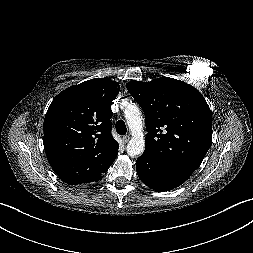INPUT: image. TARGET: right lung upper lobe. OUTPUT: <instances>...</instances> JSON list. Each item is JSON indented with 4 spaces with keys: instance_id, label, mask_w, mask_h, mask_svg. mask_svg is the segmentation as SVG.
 Segmentation results:
<instances>
[{
    "instance_id": "right-lung-upper-lobe-1",
    "label": "right lung upper lobe",
    "mask_w": 253,
    "mask_h": 253,
    "mask_svg": "<svg viewBox=\"0 0 253 253\" xmlns=\"http://www.w3.org/2000/svg\"><path fill=\"white\" fill-rule=\"evenodd\" d=\"M120 87L96 78L62 91L44 119V149L49 164L67 184L94 182L118 154L111 134L112 101Z\"/></svg>"
}]
</instances>
